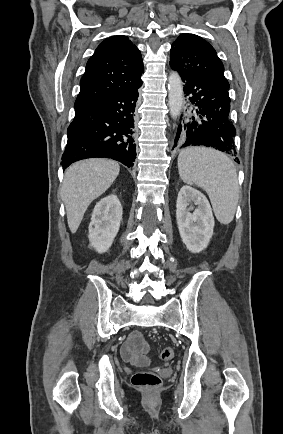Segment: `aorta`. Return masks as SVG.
<instances>
[{"label": "aorta", "instance_id": "obj_1", "mask_svg": "<svg viewBox=\"0 0 283 434\" xmlns=\"http://www.w3.org/2000/svg\"><path fill=\"white\" fill-rule=\"evenodd\" d=\"M169 110L173 119L177 118L183 106V86L180 75L172 71L168 78Z\"/></svg>", "mask_w": 283, "mask_h": 434}]
</instances>
